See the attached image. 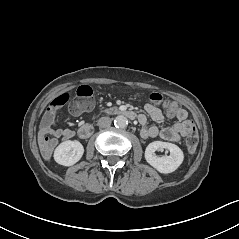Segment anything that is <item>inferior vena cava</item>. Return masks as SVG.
Segmentation results:
<instances>
[{
  "instance_id": "inferior-vena-cava-1",
  "label": "inferior vena cava",
  "mask_w": 239,
  "mask_h": 239,
  "mask_svg": "<svg viewBox=\"0 0 239 239\" xmlns=\"http://www.w3.org/2000/svg\"><path fill=\"white\" fill-rule=\"evenodd\" d=\"M98 126L101 128H106L109 127L111 125V118L110 117H101L98 120Z\"/></svg>"
}]
</instances>
